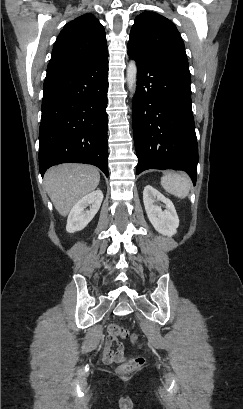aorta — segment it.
Instances as JSON below:
<instances>
[{
    "mask_svg": "<svg viewBox=\"0 0 243 409\" xmlns=\"http://www.w3.org/2000/svg\"><path fill=\"white\" fill-rule=\"evenodd\" d=\"M137 83V65L134 60H131L127 67V84L128 88L133 96Z\"/></svg>",
    "mask_w": 243,
    "mask_h": 409,
    "instance_id": "762f6f07",
    "label": "aorta"
}]
</instances>
